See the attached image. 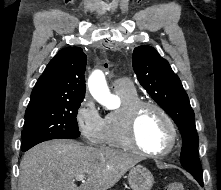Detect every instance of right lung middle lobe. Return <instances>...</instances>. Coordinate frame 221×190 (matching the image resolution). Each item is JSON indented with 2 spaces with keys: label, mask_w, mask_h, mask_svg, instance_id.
I'll use <instances>...</instances> for the list:
<instances>
[{
  "label": "right lung middle lobe",
  "mask_w": 221,
  "mask_h": 190,
  "mask_svg": "<svg viewBox=\"0 0 221 190\" xmlns=\"http://www.w3.org/2000/svg\"><path fill=\"white\" fill-rule=\"evenodd\" d=\"M81 102H51L28 106L22 131V151L50 139L78 138L80 132L76 117Z\"/></svg>",
  "instance_id": "right-lung-middle-lobe-1"
}]
</instances>
